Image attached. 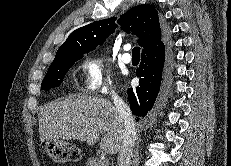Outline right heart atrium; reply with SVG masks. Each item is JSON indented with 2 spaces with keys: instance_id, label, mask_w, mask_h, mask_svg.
<instances>
[{
  "instance_id": "right-heart-atrium-1",
  "label": "right heart atrium",
  "mask_w": 231,
  "mask_h": 166,
  "mask_svg": "<svg viewBox=\"0 0 231 166\" xmlns=\"http://www.w3.org/2000/svg\"><path fill=\"white\" fill-rule=\"evenodd\" d=\"M83 88L89 94L106 95L112 93L110 73L104 59L98 55H88L81 63Z\"/></svg>"
}]
</instances>
